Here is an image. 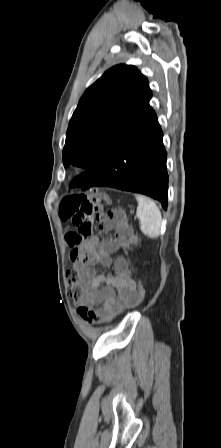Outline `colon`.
<instances>
[{
  "instance_id": "colon-1",
  "label": "colon",
  "mask_w": 221,
  "mask_h": 448,
  "mask_svg": "<svg viewBox=\"0 0 221 448\" xmlns=\"http://www.w3.org/2000/svg\"><path fill=\"white\" fill-rule=\"evenodd\" d=\"M108 200L104 194L92 195H68L63 198L59 206L60 218L64 221H71L81 239H88L94 229V225L99 220L97 215L102 209V202ZM109 221L122 225L124 220L122 216L113 211L109 212ZM92 255L84 257L85 262H90ZM67 280L70 284V296L78 300L82 294L81 279L78 271L75 268L69 269L66 273ZM145 297V288L143 284L138 281L137 284V298L130 307H137ZM80 316L89 323L98 322L95 312L87 306H80L78 308ZM113 317L106 318L103 321H111Z\"/></svg>"
}]
</instances>
